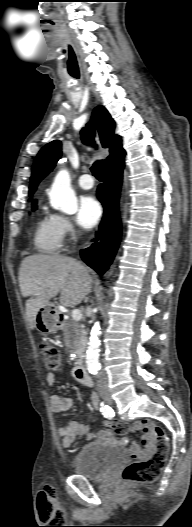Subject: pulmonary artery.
Here are the masks:
<instances>
[{
	"label": "pulmonary artery",
	"mask_w": 192,
	"mask_h": 527,
	"mask_svg": "<svg viewBox=\"0 0 192 527\" xmlns=\"http://www.w3.org/2000/svg\"><path fill=\"white\" fill-rule=\"evenodd\" d=\"M78 183L83 189H91L94 186L93 178L89 174H83L80 176Z\"/></svg>",
	"instance_id": "1"
}]
</instances>
